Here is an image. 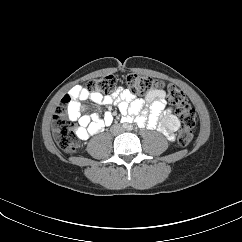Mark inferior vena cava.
Segmentation results:
<instances>
[{
  "label": "inferior vena cava",
  "mask_w": 242,
  "mask_h": 242,
  "mask_svg": "<svg viewBox=\"0 0 242 242\" xmlns=\"http://www.w3.org/2000/svg\"><path fill=\"white\" fill-rule=\"evenodd\" d=\"M112 131H117L119 133L123 132V128L120 125H116L112 128Z\"/></svg>",
  "instance_id": "obj_1"
}]
</instances>
